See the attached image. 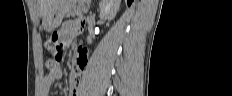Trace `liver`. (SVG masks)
Instances as JSON below:
<instances>
[{
	"label": "liver",
	"instance_id": "1",
	"mask_svg": "<svg viewBox=\"0 0 232 96\" xmlns=\"http://www.w3.org/2000/svg\"><path fill=\"white\" fill-rule=\"evenodd\" d=\"M40 16L44 17L46 12L49 10L52 0H38Z\"/></svg>",
	"mask_w": 232,
	"mask_h": 96
}]
</instances>
